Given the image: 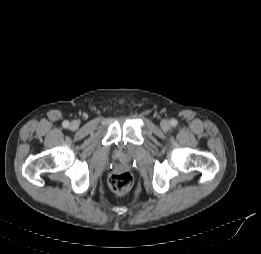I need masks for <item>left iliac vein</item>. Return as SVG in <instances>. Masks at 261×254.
<instances>
[{
  "mask_svg": "<svg viewBox=\"0 0 261 254\" xmlns=\"http://www.w3.org/2000/svg\"><path fill=\"white\" fill-rule=\"evenodd\" d=\"M160 125H161V128L165 131L170 129V122L166 119L162 120Z\"/></svg>",
  "mask_w": 261,
  "mask_h": 254,
  "instance_id": "1",
  "label": "left iliac vein"
}]
</instances>
